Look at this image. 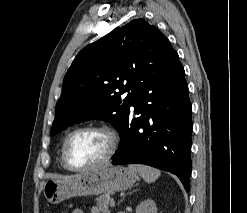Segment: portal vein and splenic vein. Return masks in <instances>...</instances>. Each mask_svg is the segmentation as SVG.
Here are the masks:
<instances>
[{
    "label": "portal vein and splenic vein",
    "mask_w": 247,
    "mask_h": 213,
    "mask_svg": "<svg viewBox=\"0 0 247 213\" xmlns=\"http://www.w3.org/2000/svg\"><path fill=\"white\" fill-rule=\"evenodd\" d=\"M110 206H112V207L115 206V201L113 199L110 201Z\"/></svg>",
    "instance_id": "portal-vein-and-splenic-vein-1"
}]
</instances>
